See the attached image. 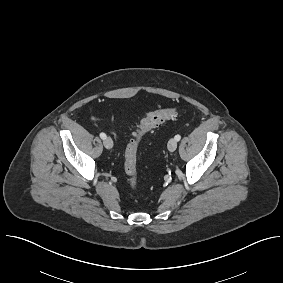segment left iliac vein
Instances as JSON below:
<instances>
[{
	"label": "left iliac vein",
	"mask_w": 283,
	"mask_h": 283,
	"mask_svg": "<svg viewBox=\"0 0 283 283\" xmlns=\"http://www.w3.org/2000/svg\"><path fill=\"white\" fill-rule=\"evenodd\" d=\"M167 147H168V150L170 152H173V151L176 150V148H177V141L175 140V138H171L169 140Z\"/></svg>",
	"instance_id": "1"
}]
</instances>
